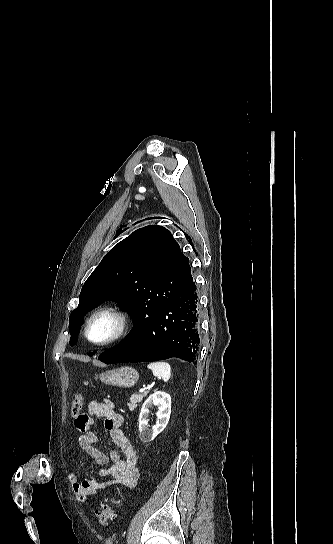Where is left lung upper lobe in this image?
Instances as JSON below:
<instances>
[{
	"instance_id": "1",
	"label": "left lung upper lobe",
	"mask_w": 333,
	"mask_h": 544,
	"mask_svg": "<svg viewBox=\"0 0 333 544\" xmlns=\"http://www.w3.org/2000/svg\"><path fill=\"white\" fill-rule=\"evenodd\" d=\"M170 231L162 226L140 228L108 252L82 287L78 307L69 318L73 346L86 312L106 299H118L135 320L152 319L186 285L191 276Z\"/></svg>"
}]
</instances>
